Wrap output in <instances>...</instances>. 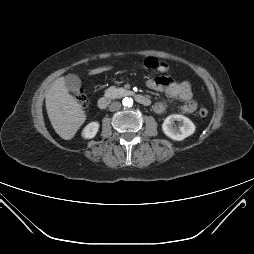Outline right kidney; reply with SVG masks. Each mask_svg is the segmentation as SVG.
<instances>
[{
    "mask_svg": "<svg viewBox=\"0 0 254 254\" xmlns=\"http://www.w3.org/2000/svg\"><path fill=\"white\" fill-rule=\"evenodd\" d=\"M99 123L98 122H91L83 129L82 135L86 139L94 138L98 132Z\"/></svg>",
    "mask_w": 254,
    "mask_h": 254,
    "instance_id": "1",
    "label": "right kidney"
}]
</instances>
